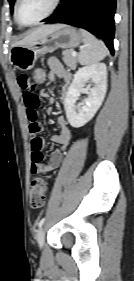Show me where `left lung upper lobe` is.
Segmentation results:
<instances>
[{"label":"left lung upper lobe","instance_id":"obj_1","mask_svg":"<svg viewBox=\"0 0 134 281\" xmlns=\"http://www.w3.org/2000/svg\"><path fill=\"white\" fill-rule=\"evenodd\" d=\"M8 1L10 3V8L13 9V5H14L15 0H8Z\"/></svg>","mask_w":134,"mask_h":281}]
</instances>
